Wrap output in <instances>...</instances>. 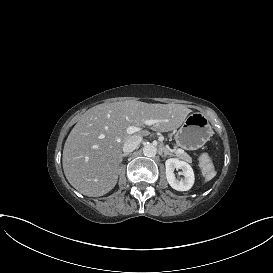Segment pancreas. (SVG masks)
Segmentation results:
<instances>
[{"mask_svg": "<svg viewBox=\"0 0 273 273\" xmlns=\"http://www.w3.org/2000/svg\"><path fill=\"white\" fill-rule=\"evenodd\" d=\"M176 156L180 159L187 161V162H190V163L192 162V158L185 152H183V153L176 152Z\"/></svg>", "mask_w": 273, "mask_h": 273, "instance_id": "pancreas-1", "label": "pancreas"}]
</instances>
